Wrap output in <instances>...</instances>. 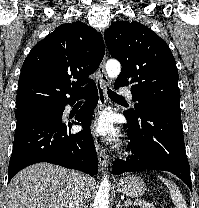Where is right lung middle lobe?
I'll return each mask as SVG.
<instances>
[{
  "label": "right lung middle lobe",
  "instance_id": "dd1d6c3e",
  "mask_svg": "<svg viewBox=\"0 0 199 208\" xmlns=\"http://www.w3.org/2000/svg\"><path fill=\"white\" fill-rule=\"evenodd\" d=\"M56 107L50 106H29L16 110V119L31 116H56Z\"/></svg>",
  "mask_w": 199,
  "mask_h": 208
}]
</instances>
